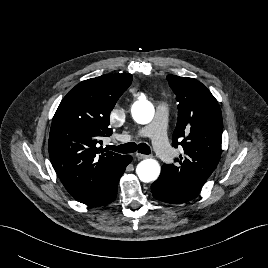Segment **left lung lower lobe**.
Masks as SVG:
<instances>
[{
    "mask_svg": "<svg viewBox=\"0 0 268 268\" xmlns=\"http://www.w3.org/2000/svg\"><path fill=\"white\" fill-rule=\"evenodd\" d=\"M151 192L156 199L172 204L185 203L198 195L173 185L167 178L161 176V174L151 185Z\"/></svg>",
    "mask_w": 268,
    "mask_h": 268,
    "instance_id": "0a47b994",
    "label": "left lung lower lobe"
}]
</instances>
